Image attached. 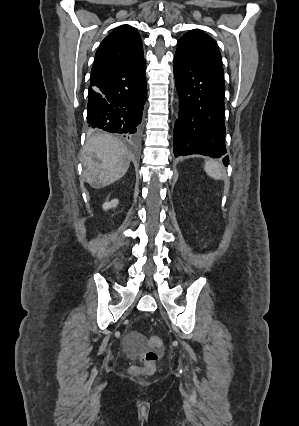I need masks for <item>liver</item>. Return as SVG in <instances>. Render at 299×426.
Wrapping results in <instances>:
<instances>
[{"instance_id": "1", "label": "liver", "mask_w": 299, "mask_h": 426, "mask_svg": "<svg viewBox=\"0 0 299 426\" xmlns=\"http://www.w3.org/2000/svg\"><path fill=\"white\" fill-rule=\"evenodd\" d=\"M125 145L106 133L89 137L82 153L83 176L94 188H102L125 175L130 164Z\"/></svg>"}]
</instances>
